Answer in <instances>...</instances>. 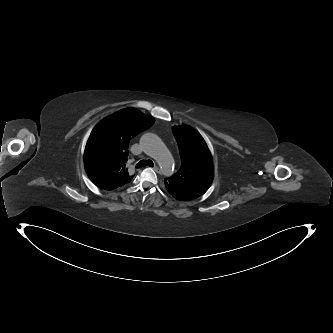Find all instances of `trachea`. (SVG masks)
<instances>
[{"label": "trachea", "mask_w": 333, "mask_h": 333, "mask_svg": "<svg viewBox=\"0 0 333 333\" xmlns=\"http://www.w3.org/2000/svg\"><path fill=\"white\" fill-rule=\"evenodd\" d=\"M145 166H150L153 167L154 163L151 160H141L136 167L137 168H141V167H145Z\"/></svg>", "instance_id": "1"}]
</instances>
